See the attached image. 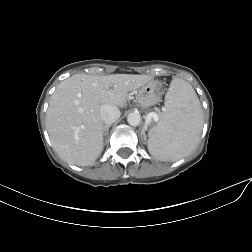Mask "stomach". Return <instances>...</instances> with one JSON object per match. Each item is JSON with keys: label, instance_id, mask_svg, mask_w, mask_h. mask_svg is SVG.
I'll use <instances>...</instances> for the list:
<instances>
[{"label": "stomach", "instance_id": "0dacf381", "mask_svg": "<svg viewBox=\"0 0 252 252\" xmlns=\"http://www.w3.org/2000/svg\"><path fill=\"white\" fill-rule=\"evenodd\" d=\"M162 95V86L157 81H150L137 92V101L143 108H148L159 102Z\"/></svg>", "mask_w": 252, "mask_h": 252}]
</instances>
